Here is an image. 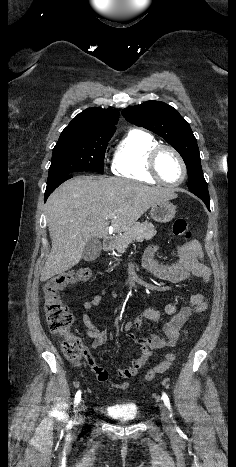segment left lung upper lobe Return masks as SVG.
Wrapping results in <instances>:
<instances>
[{
  "label": "left lung upper lobe",
  "instance_id": "1",
  "mask_svg": "<svg viewBox=\"0 0 236 467\" xmlns=\"http://www.w3.org/2000/svg\"><path fill=\"white\" fill-rule=\"evenodd\" d=\"M122 115L130 123L161 136L179 152L187 165L190 190L208 188L203 176L195 136L188 122L172 106L151 100L123 109Z\"/></svg>",
  "mask_w": 236,
  "mask_h": 467
}]
</instances>
